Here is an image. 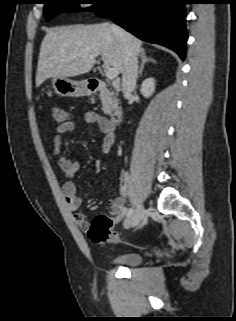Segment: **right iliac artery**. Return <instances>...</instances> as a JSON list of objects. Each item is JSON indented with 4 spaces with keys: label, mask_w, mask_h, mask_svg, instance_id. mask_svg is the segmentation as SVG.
Listing matches in <instances>:
<instances>
[{
    "label": "right iliac artery",
    "mask_w": 236,
    "mask_h": 321,
    "mask_svg": "<svg viewBox=\"0 0 236 321\" xmlns=\"http://www.w3.org/2000/svg\"><path fill=\"white\" fill-rule=\"evenodd\" d=\"M125 213H126V216L129 217L130 215H132L133 209L130 208L128 211H125Z\"/></svg>",
    "instance_id": "obj_1"
}]
</instances>
